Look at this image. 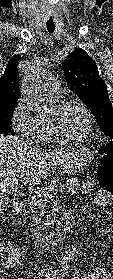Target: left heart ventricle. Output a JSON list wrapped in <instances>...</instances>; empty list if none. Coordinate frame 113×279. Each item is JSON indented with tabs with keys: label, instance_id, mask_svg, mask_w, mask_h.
I'll use <instances>...</instances> for the list:
<instances>
[{
	"label": "left heart ventricle",
	"instance_id": "left-heart-ventricle-1",
	"mask_svg": "<svg viewBox=\"0 0 113 279\" xmlns=\"http://www.w3.org/2000/svg\"><path fill=\"white\" fill-rule=\"evenodd\" d=\"M58 132L67 137H76L83 134L87 128V119L84 112L77 105H69L58 110L55 106L47 116Z\"/></svg>",
	"mask_w": 113,
	"mask_h": 279
}]
</instances>
